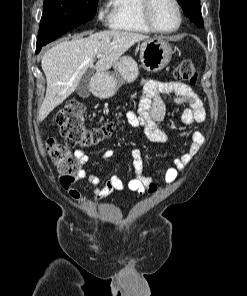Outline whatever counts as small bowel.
Listing matches in <instances>:
<instances>
[{
	"label": "small bowel",
	"instance_id": "1",
	"mask_svg": "<svg viewBox=\"0 0 247 296\" xmlns=\"http://www.w3.org/2000/svg\"><path fill=\"white\" fill-rule=\"evenodd\" d=\"M141 84L143 89L138 110L127 112L126 118L132 128L142 129L149 141L163 143L168 139L159 126L165 115L166 104L172 103L183 107L180 120L188 129L180 133V137L187 138L189 145L188 149L175 157L172 165L163 172V182L170 185L178 179L205 142L204 135L191 127L205 120L206 110L194 90L184 83L147 78ZM113 154V150H107L104 157H112ZM74 155L80 163L77 179L87 181L91 185L95 200L107 198L114 190L122 191L127 188L139 195H146L154 194L160 188L159 174L154 173L150 176L143 174L144 160L140 149L135 148L131 151L133 177L127 183L117 175L102 180L99 175L88 172L86 166L89 157L86 153L77 150ZM69 194L76 201L81 198V193L74 187L69 188Z\"/></svg>",
	"mask_w": 247,
	"mask_h": 296
}]
</instances>
